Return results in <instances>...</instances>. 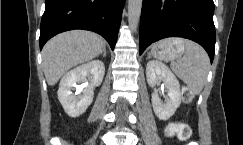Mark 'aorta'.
<instances>
[{"label": "aorta", "mask_w": 243, "mask_h": 145, "mask_svg": "<svg viewBox=\"0 0 243 145\" xmlns=\"http://www.w3.org/2000/svg\"><path fill=\"white\" fill-rule=\"evenodd\" d=\"M142 9V0H128V23L132 30H136Z\"/></svg>", "instance_id": "aorta-1"}]
</instances>
